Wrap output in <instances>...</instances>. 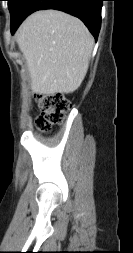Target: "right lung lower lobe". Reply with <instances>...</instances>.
I'll use <instances>...</instances> for the list:
<instances>
[{
  "mask_svg": "<svg viewBox=\"0 0 133 253\" xmlns=\"http://www.w3.org/2000/svg\"><path fill=\"white\" fill-rule=\"evenodd\" d=\"M104 0H25L18 21L11 27L12 34L23 20L37 10L55 9L76 16L87 26L97 40L101 26V8Z\"/></svg>",
  "mask_w": 133,
  "mask_h": 253,
  "instance_id": "1",
  "label": "right lung lower lobe"
}]
</instances>
